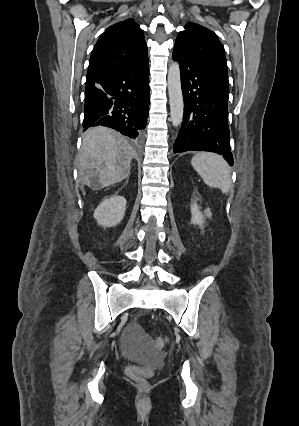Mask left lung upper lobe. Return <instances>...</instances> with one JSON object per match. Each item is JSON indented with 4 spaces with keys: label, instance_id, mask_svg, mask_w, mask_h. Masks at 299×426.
Masks as SVG:
<instances>
[{
    "label": "left lung upper lobe",
    "instance_id": "1",
    "mask_svg": "<svg viewBox=\"0 0 299 426\" xmlns=\"http://www.w3.org/2000/svg\"><path fill=\"white\" fill-rule=\"evenodd\" d=\"M175 41L174 50L192 64L205 69L229 89L224 47L217 35L196 23L185 25Z\"/></svg>",
    "mask_w": 299,
    "mask_h": 426
}]
</instances>
